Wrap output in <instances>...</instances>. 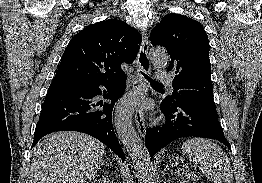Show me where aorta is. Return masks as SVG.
<instances>
[{"instance_id":"1","label":"aorta","mask_w":262,"mask_h":183,"mask_svg":"<svg viewBox=\"0 0 262 183\" xmlns=\"http://www.w3.org/2000/svg\"><path fill=\"white\" fill-rule=\"evenodd\" d=\"M150 58L155 67H164L169 61L166 50L160 48L151 49ZM142 95L140 90H131L125 94L116 106L114 122L118 136L131 156L138 178L147 182L152 174L153 165L132 124L135 107Z\"/></svg>"}]
</instances>
